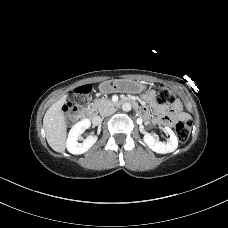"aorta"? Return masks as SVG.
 <instances>
[{
  "label": "aorta",
  "mask_w": 228,
  "mask_h": 228,
  "mask_svg": "<svg viewBox=\"0 0 228 228\" xmlns=\"http://www.w3.org/2000/svg\"><path fill=\"white\" fill-rule=\"evenodd\" d=\"M132 108L131 104L128 103V102H125L123 105H122V110L125 111V112H128L130 111Z\"/></svg>",
  "instance_id": "aorta-1"
}]
</instances>
